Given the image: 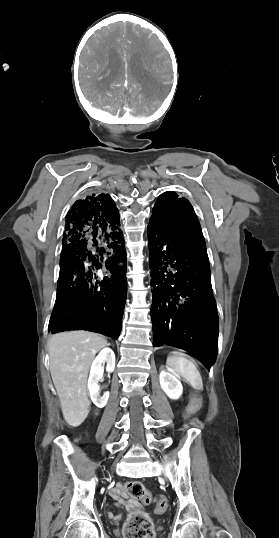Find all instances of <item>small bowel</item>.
Here are the masks:
<instances>
[{"mask_svg": "<svg viewBox=\"0 0 279 538\" xmlns=\"http://www.w3.org/2000/svg\"><path fill=\"white\" fill-rule=\"evenodd\" d=\"M110 496L116 501L114 505L120 510L118 514H113L111 512L107 513L108 518L111 520L119 521L123 512L130 511L139 506L135 500L127 499L128 493L122 484H118L111 489Z\"/></svg>", "mask_w": 279, "mask_h": 538, "instance_id": "small-bowel-1", "label": "small bowel"}]
</instances>
